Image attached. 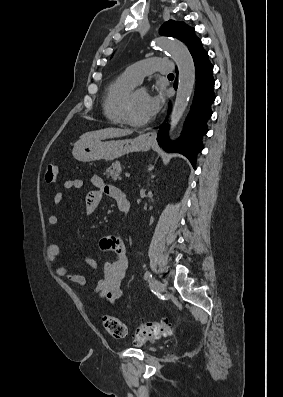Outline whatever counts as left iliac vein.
Listing matches in <instances>:
<instances>
[{
    "label": "left iliac vein",
    "instance_id": "1",
    "mask_svg": "<svg viewBox=\"0 0 283 397\" xmlns=\"http://www.w3.org/2000/svg\"><path fill=\"white\" fill-rule=\"evenodd\" d=\"M154 288H155L156 292L161 293L164 289V286L159 280L155 279L154 280Z\"/></svg>",
    "mask_w": 283,
    "mask_h": 397
}]
</instances>
